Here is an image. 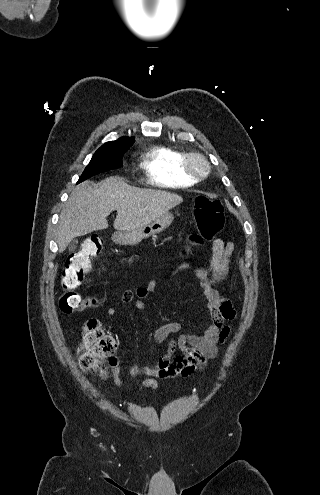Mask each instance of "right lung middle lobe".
I'll return each instance as SVG.
<instances>
[{
    "instance_id": "1",
    "label": "right lung middle lobe",
    "mask_w": 320,
    "mask_h": 495,
    "mask_svg": "<svg viewBox=\"0 0 320 495\" xmlns=\"http://www.w3.org/2000/svg\"><path fill=\"white\" fill-rule=\"evenodd\" d=\"M128 148H99L77 183L91 176L123 166L122 156Z\"/></svg>"
}]
</instances>
